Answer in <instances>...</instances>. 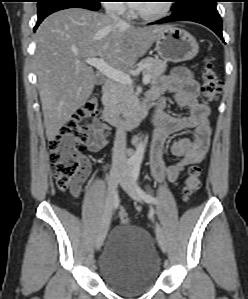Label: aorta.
I'll return each instance as SVG.
<instances>
[{"mask_svg":"<svg viewBox=\"0 0 248 299\" xmlns=\"http://www.w3.org/2000/svg\"><path fill=\"white\" fill-rule=\"evenodd\" d=\"M144 150H145V144L140 138L139 139V144L136 148L135 153L132 156V159L136 162H142V159H143V156H144Z\"/></svg>","mask_w":248,"mask_h":299,"instance_id":"762f6f07","label":"aorta"}]
</instances>
